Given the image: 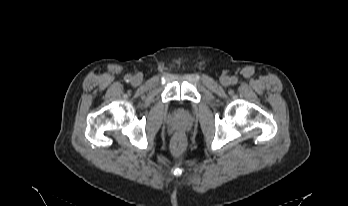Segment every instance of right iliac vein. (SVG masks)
Wrapping results in <instances>:
<instances>
[{
	"instance_id": "obj_1",
	"label": "right iliac vein",
	"mask_w": 348,
	"mask_h": 206,
	"mask_svg": "<svg viewBox=\"0 0 348 206\" xmlns=\"http://www.w3.org/2000/svg\"><path fill=\"white\" fill-rule=\"evenodd\" d=\"M141 82H142V78L140 76H135L132 79V84L135 85V86L140 85Z\"/></svg>"
}]
</instances>
